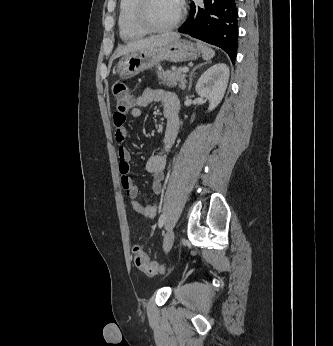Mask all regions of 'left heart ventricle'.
<instances>
[{"instance_id": "left-heart-ventricle-1", "label": "left heart ventricle", "mask_w": 333, "mask_h": 346, "mask_svg": "<svg viewBox=\"0 0 333 346\" xmlns=\"http://www.w3.org/2000/svg\"><path fill=\"white\" fill-rule=\"evenodd\" d=\"M178 11L176 0H150L149 17L158 26L170 23Z\"/></svg>"}]
</instances>
